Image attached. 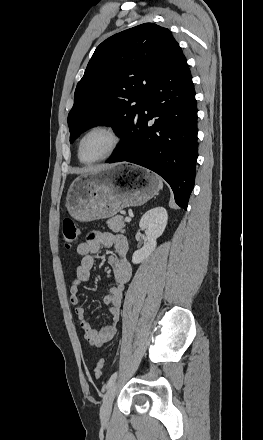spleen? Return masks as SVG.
<instances>
[{
    "instance_id": "1",
    "label": "spleen",
    "mask_w": 263,
    "mask_h": 440,
    "mask_svg": "<svg viewBox=\"0 0 263 440\" xmlns=\"http://www.w3.org/2000/svg\"><path fill=\"white\" fill-rule=\"evenodd\" d=\"M163 188V181L161 178H159V189Z\"/></svg>"
}]
</instances>
